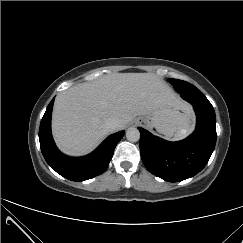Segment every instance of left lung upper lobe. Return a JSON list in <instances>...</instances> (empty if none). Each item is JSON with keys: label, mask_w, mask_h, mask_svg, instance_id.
Masks as SVG:
<instances>
[{"label": "left lung upper lobe", "mask_w": 243, "mask_h": 243, "mask_svg": "<svg viewBox=\"0 0 243 243\" xmlns=\"http://www.w3.org/2000/svg\"><path fill=\"white\" fill-rule=\"evenodd\" d=\"M169 81L171 82V84L175 87L176 90H179L181 88L186 87L187 85H189L190 83L182 81V80H178V79H169Z\"/></svg>", "instance_id": "5c2ea615"}]
</instances>
